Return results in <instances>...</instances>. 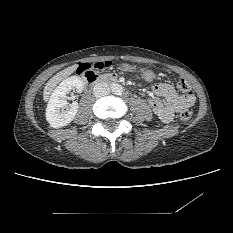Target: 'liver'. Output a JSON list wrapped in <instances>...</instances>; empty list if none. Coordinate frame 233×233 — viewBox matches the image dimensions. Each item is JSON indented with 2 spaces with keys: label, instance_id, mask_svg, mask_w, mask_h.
<instances>
[{
  "label": "liver",
  "instance_id": "liver-1",
  "mask_svg": "<svg viewBox=\"0 0 233 233\" xmlns=\"http://www.w3.org/2000/svg\"><path fill=\"white\" fill-rule=\"evenodd\" d=\"M77 69V65H72L60 72H58L56 75H54L45 85L44 91H43V98L44 101H47L49 99V96L55 86L64 78L71 75L75 70Z\"/></svg>",
  "mask_w": 233,
  "mask_h": 233
}]
</instances>
